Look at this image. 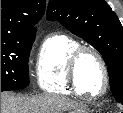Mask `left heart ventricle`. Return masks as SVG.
<instances>
[{
  "instance_id": "1",
  "label": "left heart ventricle",
  "mask_w": 123,
  "mask_h": 113,
  "mask_svg": "<svg viewBox=\"0 0 123 113\" xmlns=\"http://www.w3.org/2000/svg\"><path fill=\"white\" fill-rule=\"evenodd\" d=\"M78 79L81 89L88 94L99 93L104 84L102 68L90 53L85 54L78 65Z\"/></svg>"
}]
</instances>
